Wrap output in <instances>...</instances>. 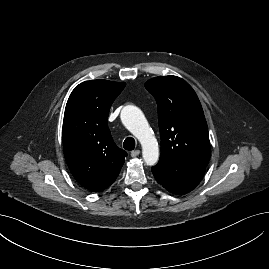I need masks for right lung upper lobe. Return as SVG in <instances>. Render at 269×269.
I'll use <instances>...</instances> for the list:
<instances>
[{
    "label": "right lung upper lobe",
    "mask_w": 269,
    "mask_h": 269,
    "mask_svg": "<svg viewBox=\"0 0 269 269\" xmlns=\"http://www.w3.org/2000/svg\"><path fill=\"white\" fill-rule=\"evenodd\" d=\"M124 82L86 81L72 91L62 129L64 155L74 178L91 191L108 188L127 153L116 146L107 125L110 107Z\"/></svg>",
    "instance_id": "obj_1"
}]
</instances>
